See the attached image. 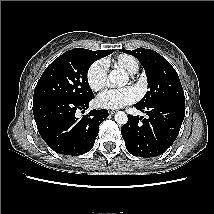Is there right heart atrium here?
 <instances>
[{"instance_id": "obj_1", "label": "right heart atrium", "mask_w": 214, "mask_h": 214, "mask_svg": "<svg viewBox=\"0 0 214 214\" xmlns=\"http://www.w3.org/2000/svg\"><path fill=\"white\" fill-rule=\"evenodd\" d=\"M108 68L104 60L93 62L86 73V79L89 87L93 91L102 90L107 84Z\"/></svg>"}]
</instances>
